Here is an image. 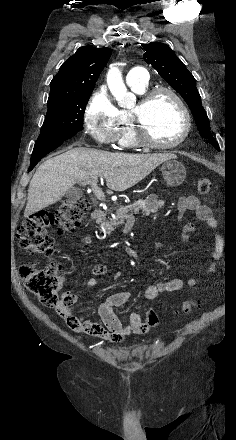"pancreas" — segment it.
Instances as JSON below:
<instances>
[{"mask_svg": "<svg viewBox=\"0 0 236 440\" xmlns=\"http://www.w3.org/2000/svg\"><path fill=\"white\" fill-rule=\"evenodd\" d=\"M163 205V200H157V195L151 194L146 199H140L133 204L120 207L117 209L114 219L102 221V231L104 234L110 235L115 227L122 225L125 220L133 219L134 214H138L139 211L149 215L150 213H156Z\"/></svg>", "mask_w": 236, "mask_h": 440, "instance_id": "pancreas-1", "label": "pancreas"}]
</instances>
